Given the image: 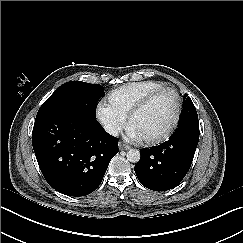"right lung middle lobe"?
I'll use <instances>...</instances> for the list:
<instances>
[{
    "label": "right lung middle lobe",
    "instance_id": "right-lung-middle-lobe-1",
    "mask_svg": "<svg viewBox=\"0 0 243 243\" xmlns=\"http://www.w3.org/2000/svg\"><path fill=\"white\" fill-rule=\"evenodd\" d=\"M104 95L103 87L82 81H70L61 85L40 107L39 112L52 106L70 104L80 107L95 120V107Z\"/></svg>",
    "mask_w": 243,
    "mask_h": 243
}]
</instances>
